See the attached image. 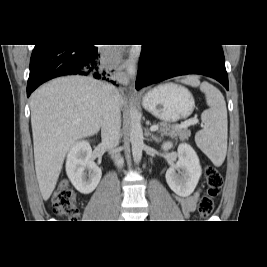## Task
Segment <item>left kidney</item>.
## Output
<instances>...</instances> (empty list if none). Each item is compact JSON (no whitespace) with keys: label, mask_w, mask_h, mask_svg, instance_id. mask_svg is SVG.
I'll use <instances>...</instances> for the list:
<instances>
[{"label":"left kidney","mask_w":267,"mask_h":267,"mask_svg":"<svg viewBox=\"0 0 267 267\" xmlns=\"http://www.w3.org/2000/svg\"><path fill=\"white\" fill-rule=\"evenodd\" d=\"M173 147L171 142L162 145L163 150ZM178 161L166 172V181L169 187L181 197L191 195L196 188L202 174L199 158L189 144H180L177 150ZM181 170V175L177 172Z\"/></svg>","instance_id":"5707ae66"}]
</instances>
